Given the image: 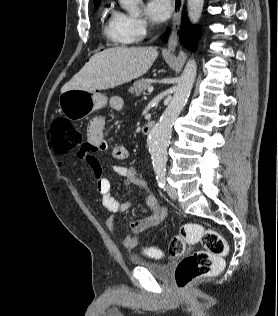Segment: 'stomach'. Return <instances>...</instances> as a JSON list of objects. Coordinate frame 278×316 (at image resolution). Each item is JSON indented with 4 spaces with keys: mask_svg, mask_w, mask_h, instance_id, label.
I'll return each instance as SVG.
<instances>
[{
    "mask_svg": "<svg viewBox=\"0 0 278 316\" xmlns=\"http://www.w3.org/2000/svg\"><path fill=\"white\" fill-rule=\"evenodd\" d=\"M107 105V97L99 92L72 89L62 92L59 108L65 117L77 121Z\"/></svg>",
    "mask_w": 278,
    "mask_h": 316,
    "instance_id": "stomach-1",
    "label": "stomach"
}]
</instances>
